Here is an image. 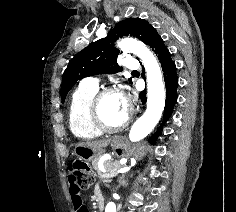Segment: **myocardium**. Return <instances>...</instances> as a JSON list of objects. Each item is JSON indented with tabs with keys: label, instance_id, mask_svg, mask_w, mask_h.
Returning a JSON list of instances; mask_svg holds the SVG:
<instances>
[{
	"label": "myocardium",
	"instance_id": "myocardium-1",
	"mask_svg": "<svg viewBox=\"0 0 236 212\" xmlns=\"http://www.w3.org/2000/svg\"><path fill=\"white\" fill-rule=\"evenodd\" d=\"M119 93V89L114 86L103 87L95 93L90 103L91 119L94 125L102 132L116 133L126 128L130 123V114L118 125L112 126L105 122L101 113V102L109 94Z\"/></svg>",
	"mask_w": 236,
	"mask_h": 212
}]
</instances>
